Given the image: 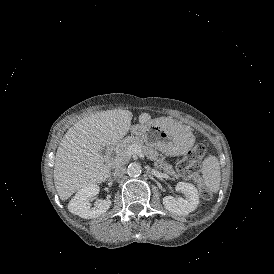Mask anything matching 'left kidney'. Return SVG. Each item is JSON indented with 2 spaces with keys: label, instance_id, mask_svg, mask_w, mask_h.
I'll return each instance as SVG.
<instances>
[{
  "label": "left kidney",
  "instance_id": "5707ae66",
  "mask_svg": "<svg viewBox=\"0 0 274 274\" xmlns=\"http://www.w3.org/2000/svg\"><path fill=\"white\" fill-rule=\"evenodd\" d=\"M176 190L183 193L184 198L166 196L163 198V205L165 209L173 214L180 216L188 215L194 211L199 204L198 190L193 184L186 182L177 183Z\"/></svg>",
  "mask_w": 274,
  "mask_h": 274
}]
</instances>
